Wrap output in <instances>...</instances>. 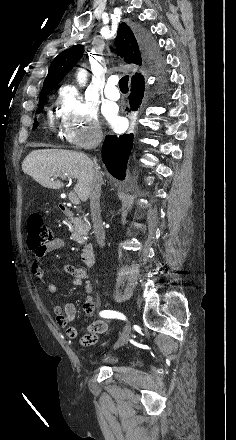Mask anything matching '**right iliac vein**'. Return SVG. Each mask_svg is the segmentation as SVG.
Returning a JSON list of instances; mask_svg holds the SVG:
<instances>
[{"mask_svg": "<svg viewBox=\"0 0 236 440\" xmlns=\"http://www.w3.org/2000/svg\"><path fill=\"white\" fill-rule=\"evenodd\" d=\"M129 333H130V325L126 323L123 334L119 339V341L117 342V344L115 345V348H119L123 346L128 341Z\"/></svg>", "mask_w": 236, "mask_h": 440, "instance_id": "1", "label": "right iliac vein"}]
</instances>
